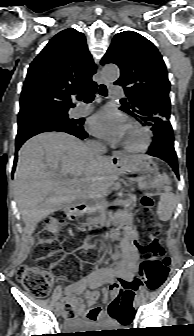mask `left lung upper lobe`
<instances>
[{"label":"left lung upper lobe","instance_id":"5c2ea615","mask_svg":"<svg viewBox=\"0 0 194 336\" xmlns=\"http://www.w3.org/2000/svg\"><path fill=\"white\" fill-rule=\"evenodd\" d=\"M114 63L121 71L114 83L124 87L129 103L120 109L142 125L170 118V82L161 54L152 42L134 31L115 35L101 64Z\"/></svg>","mask_w":194,"mask_h":336}]
</instances>
